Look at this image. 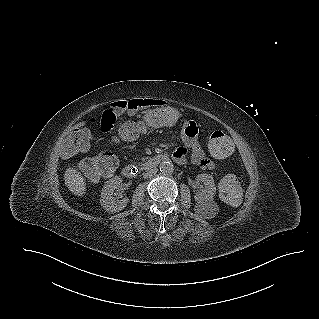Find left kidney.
I'll list each match as a JSON object with an SVG mask.
<instances>
[{
  "instance_id": "5707ae66",
  "label": "left kidney",
  "mask_w": 319,
  "mask_h": 319,
  "mask_svg": "<svg viewBox=\"0 0 319 319\" xmlns=\"http://www.w3.org/2000/svg\"><path fill=\"white\" fill-rule=\"evenodd\" d=\"M196 180L203 182L205 188L195 194V200L201 205L210 206L217 210V205L213 202V197L216 192L213 177L210 174H199L196 176Z\"/></svg>"
}]
</instances>
